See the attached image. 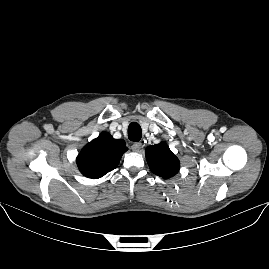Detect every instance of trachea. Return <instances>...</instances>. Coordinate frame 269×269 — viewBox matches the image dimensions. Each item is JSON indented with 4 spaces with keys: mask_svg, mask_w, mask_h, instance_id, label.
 <instances>
[{
    "mask_svg": "<svg viewBox=\"0 0 269 269\" xmlns=\"http://www.w3.org/2000/svg\"><path fill=\"white\" fill-rule=\"evenodd\" d=\"M128 137L131 141H139L141 139L142 130L141 126L138 123L132 122L128 126Z\"/></svg>",
    "mask_w": 269,
    "mask_h": 269,
    "instance_id": "3493384b",
    "label": "trachea"
}]
</instances>
